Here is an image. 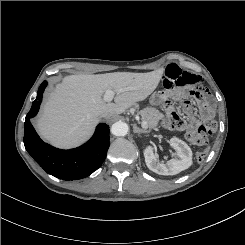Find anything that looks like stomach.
<instances>
[{
  "mask_svg": "<svg viewBox=\"0 0 245 245\" xmlns=\"http://www.w3.org/2000/svg\"><path fill=\"white\" fill-rule=\"evenodd\" d=\"M168 98V94L165 90L158 89L150 96L149 102L153 106L162 105Z\"/></svg>",
  "mask_w": 245,
  "mask_h": 245,
  "instance_id": "obj_1",
  "label": "stomach"
}]
</instances>
